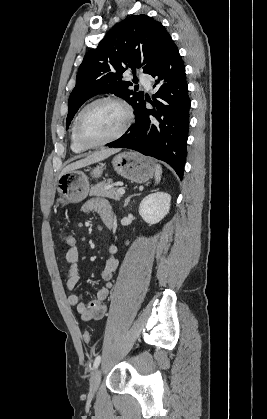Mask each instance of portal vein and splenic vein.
I'll return each instance as SVG.
<instances>
[{
  "label": "portal vein and splenic vein",
  "instance_id": "portal-vein-and-splenic-vein-1",
  "mask_svg": "<svg viewBox=\"0 0 267 419\" xmlns=\"http://www.w3.org/2000/svg\"><path fill=\"white\" fill-rule=\"evenodd\" d=\"M117 193H118L119 195H124V194H125V190H124L123 188H119V189L117 190Z\"/></svg>",
  "mask_w": 267,
  "mask_h": 419
}]
</instances>
